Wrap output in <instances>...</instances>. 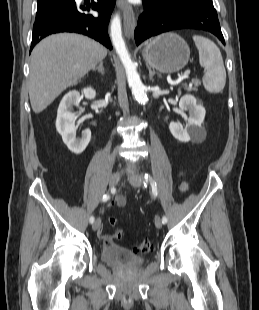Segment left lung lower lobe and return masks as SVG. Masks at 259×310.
Masks as SVG:
<instances>
[{
	"instance_id": "0a47b994",
	"label": "left lung lower lobe",
	"mask_w": 259,
	"mask_h": 310,
	"mask_svg": "<svg viewBox=\"0 0 259 310\" xmlns=\"http://www.w3.org/2000/svg\"><path fill=\"white\" fill-rule=\"evenodd\" d=\"M143 7L135 29L137 45L152 36L183 28L209 31L225 44L213 3L192 2L164 6L153 0H143Z\"/></svg>"
}]
</instances>
